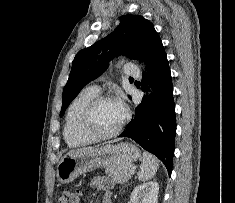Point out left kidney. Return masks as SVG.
<instances>
[{"mask_svg":"<svg viewBox=\"0 0 235 203\" xmlns=\"http://www.w3.org/2000/svg\"><path fill=\"white\" fill-rule=\"evenodd\" d=\"M159 184L156 181L136 186L131 193L129 203H157Z\"/></svg>","mask_w":235,"mask_h":203,"instance_id":"obj_1","label":"left kidney"}]
</instances>
